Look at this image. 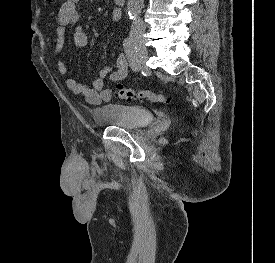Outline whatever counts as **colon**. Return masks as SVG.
Segmentation results:
<instances>
[{
    "instance_id": "1",
    "label": "colon",
    "mask_w": 275,
    "mask_h": 263,
    "mask_svg": "<svg viewBox=\"0 0 275 263\" xmlns=\"http://www.w3.org/2000/svg\"><path fill=\"white\" fill-rule=\"evenodd\" d=\"M48 1L55 2L56 0ZM116 93L120 99L126 101L144 99L155 103H166L169 101V98L167 96L157 94L151 90H139L135 87H119Z\"/></svg>"
}]
</instances>
